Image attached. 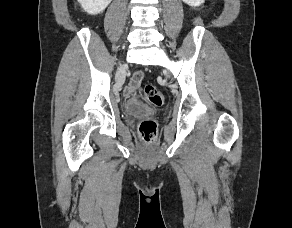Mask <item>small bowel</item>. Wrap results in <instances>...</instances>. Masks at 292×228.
Returning <instances> with one entry per match:
<instances>
[{"mask_svg":"<svg viewBox=\"0 0 292 228\" xmlns=\"http://www.w3.org/2000/svg\"><path fill=\"white\" fill-rule=\"evenodd\" d=\"M143 79L144 73L142 71H136L131 77L129 83L124 87L123 94L125 96L133 95L141 85Z\"/></svg>","mask_w":292,"mask_h":228,"instance_id":"c3829d8e","label":"small bowel"}]
</instances>
